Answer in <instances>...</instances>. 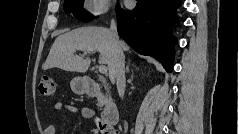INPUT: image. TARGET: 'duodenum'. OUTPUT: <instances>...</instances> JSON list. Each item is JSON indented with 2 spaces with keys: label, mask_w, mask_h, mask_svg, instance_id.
<instances>
[{
  "label": "duodenum",
  "mask_w": 239,
  "mask_h": 134,
  "mask_svg": "<svg viewBox=\"0 0 239 134\" xmlns=\"http://www.w3.org/2000/svg\"><path fill=\"white\" fill-rule=\"evenodd\" d=\"M86 93L90 96H97L99 94V86L97 81L92 77H86L84 80ZM102 119L108 126L115 125L119 120L118 108L113 103H108L103 111Z\"/></svg>",
  "instance_id": "410a0bca"
}]
</instances>
